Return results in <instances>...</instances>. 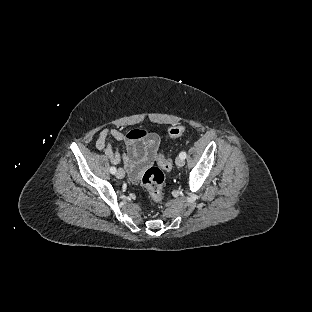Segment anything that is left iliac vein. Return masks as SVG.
Masks as SVG:
<instances>
[{
  "label": "left iliac vein",
  "mask_w": 312,
  "mask_h": 312,
  "mask_svg": "<svg viewBox=\"0 0 312 312\" xmlns=\"http://www.w3.org/2000/svg\"><path fill=\"white\" fill-rule=\"evenodd\" d=\"M184 164H185L184 159H182L181 157H177V158H176V165H177L178 167H182V166H184Z\"/></svg>",
  "instance_id": "left-iliac-vein-1"
}]
</instances>
